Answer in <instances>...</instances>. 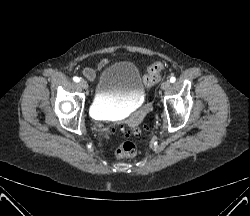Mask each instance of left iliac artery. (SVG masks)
<instances>
[{
    "label": "left iliac artery",
    "mask_w": 250,
    "mask_h": 216,
    "mask_svg": "<svg viewBox=\"0 0 250 216\" xmlns=\"http://www.w3.org/2000/svg\"><path fill=\"white\" fill-rule=\"evenodd\" d=\"M175 81H176V78H175V77H171V78H170V82H171V83H174Z\"/></svg>",
    "instance_id": "1"
}]
</instances>
